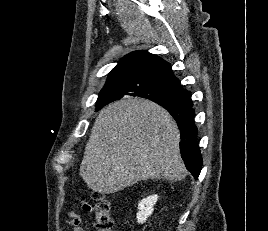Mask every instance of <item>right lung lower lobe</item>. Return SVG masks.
Returning a JSON list of instances; mask_svg holds the SVG:
<instances>
[{
	"mask_svg": "<svg viewBox=\"0 0 268 231\" xmlns=\"http://www.w3.org/2000/svg\"><path fill=\"white\" fill-rule=\"evenodd\" d=\"M128 95H131V93ZM163 107L173 116L178 124L181 134V157L185 162L186 168L197 179L201 171L202 157L198 147V130L193 120L195 111L192 108V104L188 106L167 105Z\"/></svg>",
	"mask_w": 268,
	"mask_h": 231,
	"instance_id": "1",
	"label": "right lung lower lobe"
}]
</instances>
